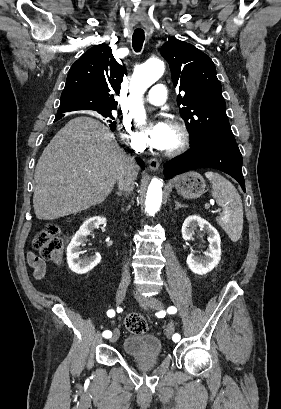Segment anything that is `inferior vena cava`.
<instances>
[{
    "mask_svg": "<svg viewBox=\"0 0 281 409\" xmlns=\"http://www.w3.org/2000/svg\"><path fill=\"white\" fill-rule=\"evenodd\" d=\"M121 172L118 176V186L119 190H121V194H127V192H131L134 188L136 176L138 174V166L134 160V158H126L122 164H120ZM130 275L128 273V269H124V273H122V281H129Z\"/></svg>",
    "mask_w": 281,
    "mask_h": 409,
    "instance_id": "602c4592",
    "label": "inferior vena cava"
}]
</instances>
